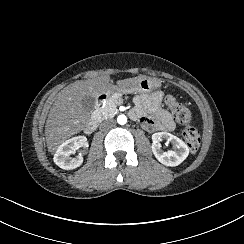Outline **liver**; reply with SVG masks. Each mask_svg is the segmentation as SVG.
I'll return each mask as SVG.
<instances>
[{
  "label": "liver",
  "instance_id": "1",
  "mask_svg": "<svg viewBox=\"0 0 244 244\" xmlns=\"http://www.w3.org/2000/svg\"><path fill=\"white\" fill-rule=\"evenodd\" d=\"M109 79V75H102L85 81L78 80L57 94L45 125L49 152H54L67 138L83 130L90 121V113L83 110L82 97H96L103 93Z\"/></svg>",
  "mask_w": 244,
  "mask_h": 244
}]
</instances>
